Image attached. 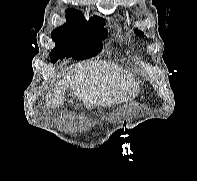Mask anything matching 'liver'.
<instances>
[{"label": "liver", "instance_id": "obj_1", "mask_svg": "<svg viewBox=\"0 0 197 181\" xmlns=\"http://www.w3.org/2000/svg\"><path fill=\"white\" fill-rule=\"evenodd\" d=\"M73 73L49 92L46 106L59 107L64 91L70 88L87 109L111 106L135 98L139 93L133 75L109 61H87L73 66Z\"/></svg>", "mask_w": 197, "mask_h": 181}]
</instances>
